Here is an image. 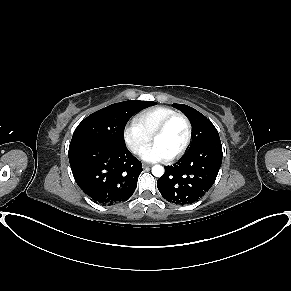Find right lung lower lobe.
I'll use <instances>...</instances> for the list:
<instances>
[{"instance_id": "obj_1", "label": "right lung lower lobe", "mask_w": 291, "mask_h": 291, "mask_svg": "<svg viewBox=\"0 0 291 291\" xmlns=\"http://www.w3.org/2000/svg\"><path fill=\"white\" fill-rule=\"evenodd\" d=\"M74 179L94 202L113 205L129 199L143 171L126 147L78 144L69 147Z\"/></svg>"}]
</instances>
